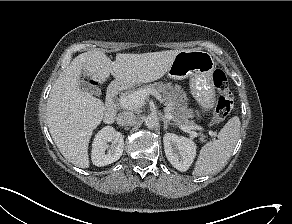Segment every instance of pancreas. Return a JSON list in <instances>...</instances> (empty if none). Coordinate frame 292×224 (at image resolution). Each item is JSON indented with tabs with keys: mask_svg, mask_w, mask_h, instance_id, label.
<instances>
[{
	"mask_svg": "<svg viewBox=\"0 0 292 224\" xmlns=\"http://www.w3.org/2000/svg\"><path fill=\"white\" fill-rule=\"evenodd\" d=\"M148 90L152 92L151 94H153V92H157L159 96L165 101L169 111L173 116V121L175 124L179 126H195L194 122L189 120V117L191 116V110L187 109V96L186 93L181 90L180 86H173L170 83L164 84L161 82H156L145 85L136 91H132L131 93ZM200 139L203 141L204 136L201 135Z\"/></svg>",
	"mask_w": 292,
	"mask_h": 224,
	"instance_id": "cf45deb5",
	"label": "pancreas"
}]
</instances>
